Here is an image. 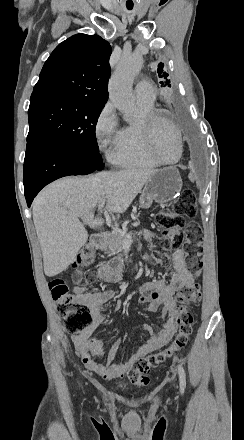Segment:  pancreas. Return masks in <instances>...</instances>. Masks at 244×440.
<instances>
[{"mask_svg":"<svg viewBox=\"0 0 244 440\" xmlns=\"http://www.w3.org/2000/svg\"><path fill=\"white\" fill-rule=\"evenodd\" d=\"M126 236V232H124V234H122V232H111V234H108L103 246V248H107V250H105L106 254H119L122 250V240H124Z\"/></svg>","mask_w":244,"mask_h":440,"instance_id":"pancreas-1","label":"pancreas"}]
</instances>
